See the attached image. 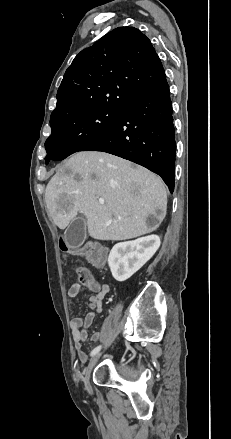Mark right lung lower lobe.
Segmentation results:
<instances>
[{
	"mask_svg": "<svg viewBox=\"0 0 231 439\" xmlns=\"http://www.w3.org/2000/svg\"><path fill=\"white\" fill-rule=\"evenodd\" d=\"M83 151L107 152L142 165L173 192L176 144L168 83L131 101L118 122Z\"/></svg>",
	"mask_w": 231,
	"mask_h": 439,
	"instance_id": "1",
	"label": "right lung lower lobe"
}]
</instances>
